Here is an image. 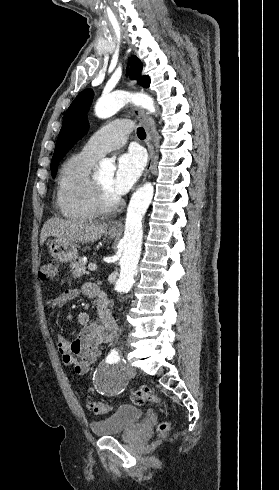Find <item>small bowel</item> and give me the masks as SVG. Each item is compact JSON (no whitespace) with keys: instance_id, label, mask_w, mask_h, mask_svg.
I'll return each mask as SVG.
<instances>
[{"instance_id":"c3829d8e","label":"small bowel","mask_w":279,"mask_h":490,"mask_svg":"<svg viewBox=\"0 0 279 490\" xmlns=\"http://www.w3.org/2000/svg\"><path fill=\"white\" fill-rule=\"evenodd\" d=\"M80 294L86 297L97 298V317L99 322L93 321L90 314L80 312L77 322L80 330L72 340L58 335L57 344L65 366L77 374H85L100 354L101 346L112 342L118 335V324L110 302L103 292L94 284L85 285L82 290L69 288L47 302L49 309H59L68 302L77 299Z\"/></svg>"}]
</instances>
